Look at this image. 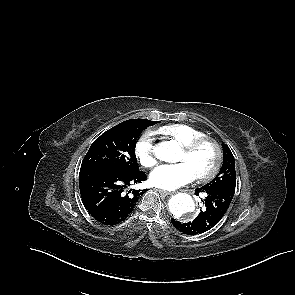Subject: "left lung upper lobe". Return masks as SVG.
I'll list each match as a JSON object with an SVG mask.
<instances>
[{"instance_id":"left-lung-upper-lobe-1","label":"left lung upper lobe","mask_w":295,"mask_h":295,"mask_svg":"<svg viewBox=\"0 0 295 295\" xmlns=\"http://www.w3.org/2000/svg\"><path fill=\"white\" fill-rule=\"evenodd\" d=\"M223 165L217 176L206 187L229 186L235 188L236 173L234 156L226 144H223Z\"/></svg>"}]
</instances>
